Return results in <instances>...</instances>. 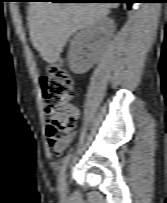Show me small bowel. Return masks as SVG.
<instances>
[{"mask_svg": "<svg viewBox=\"0 0 167 203\" xmlns=\"http://www.w3.org/2000/svg\"><path fill=\"white\" fill-rule=\"evenodd\" d=\"M76 110V109H75ZM77 115H78V111L76 110ZM70 143V137L66 136V137H62L55 146H51L52 149L54 150V152L56 154H61L63 153L69 146Z\"/></svg>", "mask_w": 167, "mask_h": 203, "instance_id": "c3829d8e", "label": "small bowel"}]
</instances>
